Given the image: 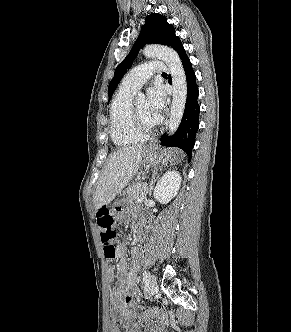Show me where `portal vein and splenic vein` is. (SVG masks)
<instances>
[{
	"mask_svg": "<svg viewBox=\"0 0 291 332\" xmlns=\"http://www.w3.org/2000/svg\"><path fill=\"white\" fill-rule=\"evenodd\" d=\"M144 198H138L137 202H141Z\"/></svg>",
	"mask_w": 291,
	"mask_h": 332,
	"instance_id": "obj_1",
	"label": "portal vein and splenic vein"
}]
</instances>
